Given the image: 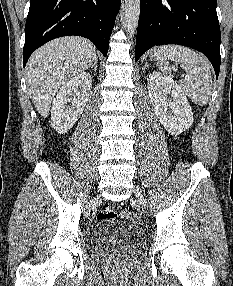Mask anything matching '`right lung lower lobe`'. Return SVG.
Here are the masks:
<instances>
[{"label":"right lung lower lobe","instance_id":"obj_1","mask_svg":"<svg viewBox=\"0 0 233 286\" xmlns=\"http://www.w3.org/2000/svg\"><path fill=\"white\" fill-rule=\"evenodd\" d=\"M121 0H30L26 20L23 65L46 42L61 36L90 39L107 55Z\"/></svg>","mask_w":233,"mask_h":286}]
</instances>
